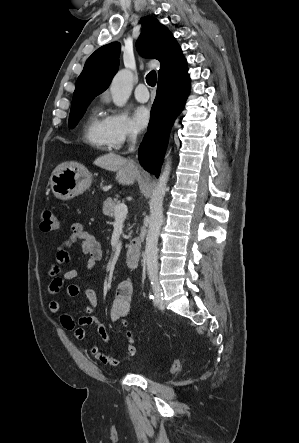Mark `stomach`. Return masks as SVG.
<instances>
[{"label":"stomach","instance_id":"0dacf381","mask_svg":"<svg viewBox=\"0 0 299 443\" xmlns=\"http://www.w3.org/2000/svg\"><path fill=\"white\" fill-rule=\"evenodd\" d=\"M92 174L87 168L78 163L59 165L51 174L50 185L56 198L70 200L89 189Z\"/></svg>","mask_w":299,"mask_h":443}]
</instances>
